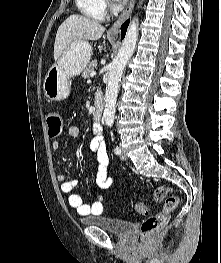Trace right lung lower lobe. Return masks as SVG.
I'll return each instance as SVG.
<instances>
[{
    "instance_id": "98d812e1",
    "label": "right lung lower lobe",
    "mask_w": 221,
    "mask_h": 263,
    "mask_svg": "<svg viewBox=\"0 0 221 263\" xmlns=\"http://www.w3.org/2000/svg\"><path fill=\"white\" fill-rule=\"evenodd\" d=\"M129 25V20H127L122 26H121V39L124 38L126 34L127 27Z\"/></svg>"
}]
</instances>
